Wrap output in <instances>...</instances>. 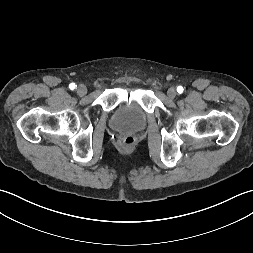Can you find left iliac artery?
<instances>
[{
	"label": "left iliac artery",
	"instance_id": "44dca946",
	"mask_svg": "<svg viewBox=\"0 0 253 253\" xmlns=\"http://www.w3.org/2000/svg\"><path fill=\"white\" fill-rule=\"evenodd\" d=\"M183 91H184V89H183L182 86H178V87H177V92H178L179 94L183 93Z\"/></svg>",
	"mask_w": 253,
	"mask_h": 253
}]
</instances>
